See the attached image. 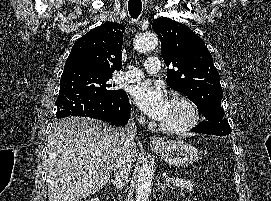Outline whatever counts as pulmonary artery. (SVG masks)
<instances>
[{"mask_svg":"<svg viewBox=\"0 0 271 201\" xmlns=\"http://www.w3.org/2000/svg\"><path fill=\"white\" fill-rule=\"evenodd\" d=\"M145 69L147 73H150V74L158 73L160 70L159 59L154 56L149 57L145 63ZM143 77H144V73L140 69L134 66H129L128 71L120 75V79L127 83H134V82L140 81Z\"/></svg>","mask_w":271,"mask_h":201,"instance_id":"e3ab8cb5","label":"pulmonary artery"}]
</instances>
